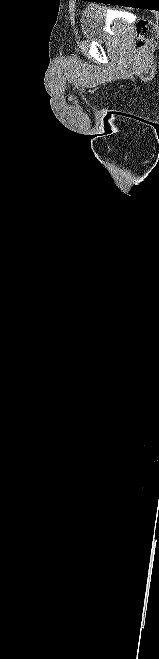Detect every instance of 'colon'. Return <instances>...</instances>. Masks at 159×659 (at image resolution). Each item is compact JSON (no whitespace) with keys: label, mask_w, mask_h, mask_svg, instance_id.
<instances>
[{"label":"colon","mask_w":159,"mask_h":659,"mask_svg":"<svg viewBox=\"0 0 159 659\" xmlns=\"http://www.w3.org/2000/svg\"><path fill=\"white\" fill-rule=\"evenodd\" d=\"M159 36V27L154 20H140L135 29L133 39V48L135 50L143 49L149 41Z\"/></svg>","instance_id":"colon-1"}]
</instances>
